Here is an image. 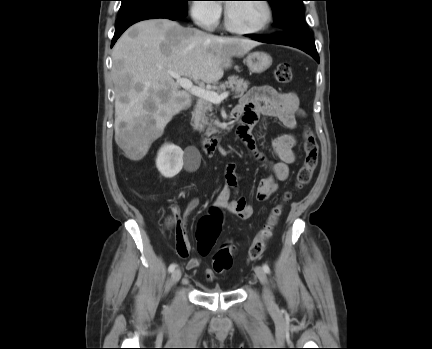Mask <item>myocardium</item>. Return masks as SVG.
<instances>
[{"instance_id": "f54148a6", "label": "myocardium", "mask_w": 432, "mask_h": 349, "mask_svg": "<svg viewBox=\"0 0 432 349\" xmlns=\"http://www.w3.org/2000/svg\"><path fill=\"white\" fill-rule=\"evenodd\" d=\"M259 2L263 3V5L266 9V12H267L266 19L261 26L254 28V29H241V28L234 26L231 22L228 5H226L225 11H224V23H225L226 29L232 33L239 34V35H256V34H260V33H263L264 31H266L273 21V16H274L273 15V8H272V5H271L269 0H260Z\"/></svg>"}]
</instances>
